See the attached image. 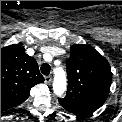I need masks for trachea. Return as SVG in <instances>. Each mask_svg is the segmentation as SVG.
<instances>
[{
  "label": "trachea",
  "mask_w": 122,
  "mask_h": 122,
  "mask_svg": "<svg viewBox=\"0 0 122 122\" xmlns=\"http://www.w3.org/2000/svg\"><path fill=\"white\" fill-rule=\"evenodd\" d=\"M40 69H41L42 74H44V75H49V73L51 71V67L47 63H43L41 65V68Z\"/></svg>",
  "instance_id": "3493384b"
}]
</instances>
